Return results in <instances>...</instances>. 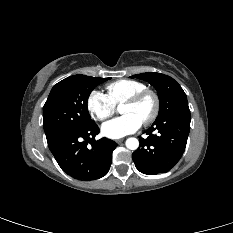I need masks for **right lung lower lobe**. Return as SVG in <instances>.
Here are the masks:
<instances>
[{
    "instance_id": "1",
    "label": "right lung lower lobe",
    "mask_w": 233,
    "mask_h": 233,
    "mask_svg": "<svg viewBox=\"0 0 233 233\" xmlns=\"http://www.w3.org/2000/svg\"><path fill=\"white\" fill-rule=\"evenodd\" d=\"M96 123L84 129L66 130L47 138L50 151L61 169L80 180H94L107 174L117 143L102 138Z\"/></svg>"
}]
</instances>
